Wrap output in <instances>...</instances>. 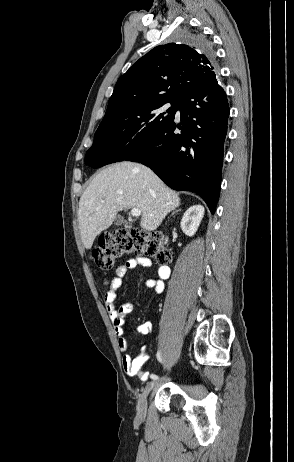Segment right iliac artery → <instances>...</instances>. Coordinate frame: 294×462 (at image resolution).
Listing matches in <instances>:
<instances>
[{"label":"right iliac artery","mask_w":294,"mask_h":462,"mask_svg":"<svg viewBox=\"0 0 294 462\" xmlns=\"http://www.w3.org/2000/svg\"><path fill=\"white\" fill-rule=\"evenodd\" d=\"M157 358H158V360H159L160 362H162L160 352L157 353ZM150 378L153 379V380H157V379H158V376L155 375V374H151Z\"/></svg>","instance_id":"right-iliac-artery-1"}]
</instances>
